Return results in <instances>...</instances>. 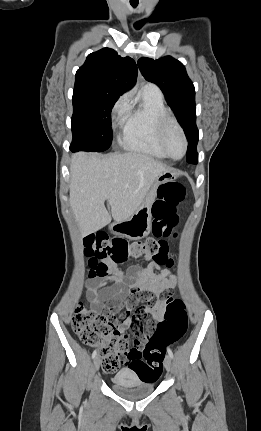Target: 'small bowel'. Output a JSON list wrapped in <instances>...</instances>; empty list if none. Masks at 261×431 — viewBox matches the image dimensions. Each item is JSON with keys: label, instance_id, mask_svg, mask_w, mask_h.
Segmentation results:
<instances>
[{"label": "small bowel", "instance_id": "1", "mask_svg": "<svg viewBox=\"0 0 261 431\" xmlns=\"http://www.w3.org/2000/svg\"><path fill=\"white\" fill-rule=\"evenodd\" d=\"M144 260L149 261L150 258ZM105 264L108 268L105 275L96 276L89 272L86 297L95 313L105 310L104 302L108 305L113 303L112 311L107 314L113 319L119 316L118 304L123 302L125 311L120 312L118 329L122 333L130 331L135 340L134 348L140 350L156 330L148 316L156 322L164 318L165 304L156 302L162 292L176 285V276L170 270L172 265L151 261L146 268L131 266L124 272L110 261ZM161 266L166 268L155 274L154 271Z\"/></svg>", "mask_w": 261, "mask_h": 431}]
</instances>
